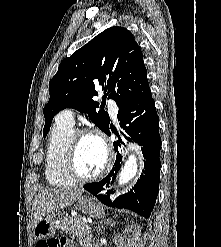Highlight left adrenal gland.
Wrapping results in <instances>:
<instances>
[{"mask_svg":"<svg viewBox=\"0 0 221 247\" xmlns=\"http://www.w3.org/2000/svg\"><path fill=\"white\" fill-rule=\"evenodd\" d=\"M108 224H110L109 220L106 222H100V225H98V233L100 232L101 228H103V226H107Z\"/></svg>","mask_w":221,"mask_h":247,"instance_id":"1","label":"left adrenal gland"}]
</instances>
